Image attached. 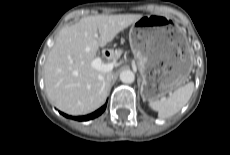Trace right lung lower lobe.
<instances>
[{
    "label": "right lung lower lobe",
    "instance_id": "obj_1",
    "mask_svg": "<svg viewBox=\"0 0 230 155\" xmlns=\"http://www.w3.org/2000/svg\"><path fill=\"white\" fill-rule=\"evenodd\" d=\"M105 109H106V104L104 106H102L100 109H98L97 111H95L89 115H86V116L72 117V116H68L64 113H61V114L67 118H72L74 120L87 121V120L98 117L99 115H101L104 112Z\"/></svg>",
    "mask_w": 230,
    "mask_h": 155
}]
</instances>
